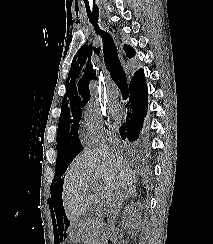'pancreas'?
<instances>
[{"mask_svg": "<svg viewBox=\"0 0 213 244\" xmlns=\"http://www.w3.org/2000/svg\"><path fill=\"white\" fill-rule=\"evenodd\" d=\"M103 227L99 219H91L84 227V234L87 244H99L102 239Z\"/></svg>", "mask_w": 213, "mask_h": 244, "instance_id": "1", "label": "pancreas"}]
</instances>
